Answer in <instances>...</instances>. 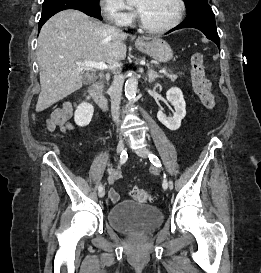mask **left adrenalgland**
Instances as JSON below:
<instances>
[{"label":"left adrenal gland","mask_w":261,"mask_h":273,"mask_svg":"<svg viewBox=\"0 0 261 273\" xmlns=\"http://www.w3.org/2000/svg\"><path fill=\"white\" fill-rule=\"evenodd\" d=\"M156 78H162V76L159 75L158 73H156L153 69H150L149 72H148V81H149V83L154 82Z\"/></svg>","instance_id":"obj_1"}]
</instances>
